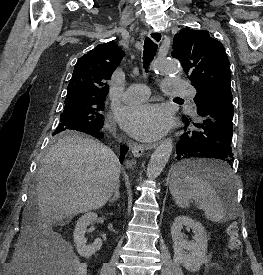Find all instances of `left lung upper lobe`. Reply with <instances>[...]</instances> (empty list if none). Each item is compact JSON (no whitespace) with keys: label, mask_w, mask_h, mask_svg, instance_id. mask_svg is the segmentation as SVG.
I'll list each match as a JSON object with an SVG mask.
<instances>
[{"label":"left lung upper lobe","mask_w":263,"mask_h":275,"mask_svg":"<svg viewBox=\"0 0 263 275\" xmlns=\"http://www.w3.org/2000/svg\"><path fill=\"white\" fill-rule=\"evenodd\" d=\"M172 49V56L181 62L197 90V107L220 91H231L230 64L224 46L207 30L182 29L174 36Z\"/></svg>","instance_id":"obj_1"}]
</instances>
